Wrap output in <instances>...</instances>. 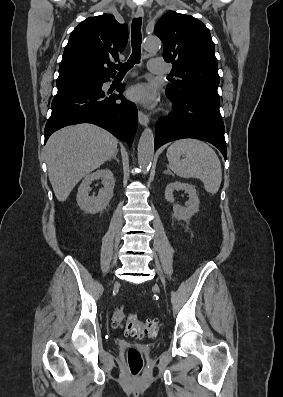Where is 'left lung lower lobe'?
Segmentation results:
<instances>
[{
    "label": "left lung lower lobe",
    "mask_w": 283,
    "mask_h": 397,
    "mask_svg": "<svg viewBox=\"0 0 283 397\" xmlns=\"http://www.w3.org/2000/svg\"><path fill=\"white\" fill-rule=\"evenodd\" d=\"M174 102L173 112L156 124L155 149L182 138L207 141L227 158L224 124L220 114V101L198 94L174 95L166 92Z\"/></svg>",
    "instance_id": "1"
}]
</instances>
